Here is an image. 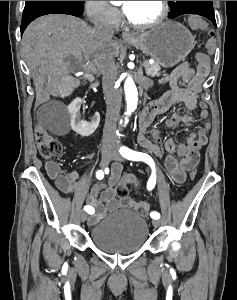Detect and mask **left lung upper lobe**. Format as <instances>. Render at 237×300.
<instances>
[{"label":"left lung upper lobe","instance_id":"5c2ea615","mask_svg":"<svg viewBox=\"0 0 237 300\" xmlns=\"http://www.w3.org/2000/svg\"><path fill=\"white\" fill-rule=\"evenodd\" d=\"M171 12L170 18L183 14L214 13L212 1H169Z\"/></svg>","mask_w":237,"mask_h":300}]
</instances>
